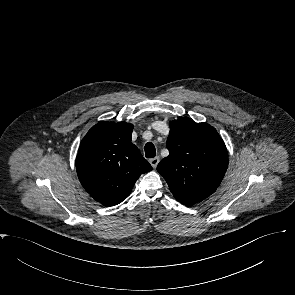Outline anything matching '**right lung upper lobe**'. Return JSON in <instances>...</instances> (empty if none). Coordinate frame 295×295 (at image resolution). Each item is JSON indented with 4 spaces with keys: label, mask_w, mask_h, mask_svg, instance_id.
<instances>
[{
    "label": "right lung upper lobe",
    "mask_w": 295,
    "mask_h": 295,
    "mask_svg": "<svg viewBox=\"0 0 295 295\" xmlns=\"http://www.w3.org/2000/svg\"><path fill=\"white\" fill-rule=\"evenodd\" d=\"M133 125L100 121L82 139L76 169L84 189L104 206H114L131 193L141 174L152 170L131 142Z\"/></svg>",
    "instance_id": "cb5924a9"
}]
</instances>
